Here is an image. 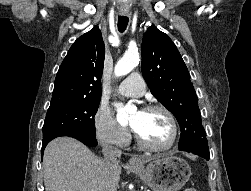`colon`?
<instances>
[{
	"label": "colon",
	"instance_id": "colon-1",
	"mask_svg": "<svg viewBox=\"0 0 251 191\" xmlns=\"http://www.w3.org/2000/svg\"><path fill=\"white\" fill-rule=\"evenodd\" d=\"M183 191H196L194 187H186Z\"/></svg>",
	"mask_w": 251,
	"mask_h": 191
}]
</instances>
